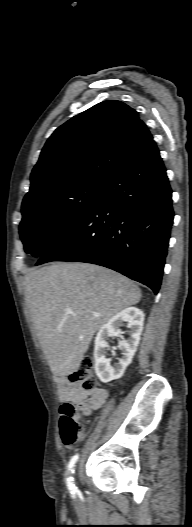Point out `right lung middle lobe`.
I'll return each instance as SVG.
<instances>
[{"label":"right lung middle lobe","mask_w":192,"mask_h":527,"mask_svg":"<svg viewBox=\"0 0 192 527\" xmlns=\"http://www.w3.org/2000/svg\"><path fill=\"white\" fill-rule=\"evenodd\" d=\"M105 184L87 180L23 202L19 233L25 252L43 256L87 213Z\"/></svg>","instance_id":"1"}]
</instances>
